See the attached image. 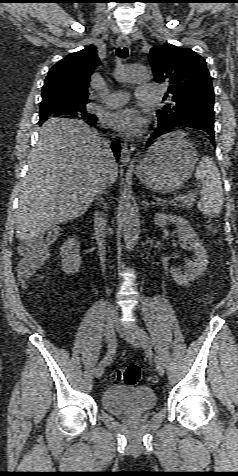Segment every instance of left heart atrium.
<instances>
[{
  "mask_svg": "<svg viewBox=\"0 0 238 476\" xmlns=\"http://www.w3.org/2000/svg\"><path fill=\"white\" fill-rule=\"evenodd\" d=\"M106 123L126 136H139L147 126V119L135 108H124L106 116Z\"/></svg>",
  "mask_w": 238,
  "mask_h": 476,
  "instance_id": "1",
  "label": "left heart atrium"
}]
</instances>
